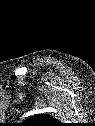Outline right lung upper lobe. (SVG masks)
Here are the masks:
<instances>
[{"label": "right lung upper lobe", "mask_w": 95, "mask_h": 126, "mask_svg": "<svg viewBox=\"0 0 95 126\" xmlns=\"http://www.w3.org/2000/svg\"><path fill=\"white\" fill-rule=\"evenodd\" d=\"M26 126H60L61 123L49 114H38L25 121Z\"/></svg>", "instance_id": "obj_1"}]
</instances>
